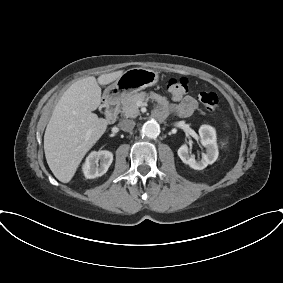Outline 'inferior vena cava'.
Here are the masks:
<instances>
[{
	"label": "inferior vena cava",
	"instance_id": "1",
	"mask_svg": "<svg viewBox=\"0 0 283 283\" xmlns=\"http://www.w3.org/2000/svg\"><path fill=\"white\" fill-rule=\"evenodd\" d=\"M121 130L130 132L135 127V122L133 120L124 119L119 123Z\"/></svg>",
	"mask_w": 283,
	"mask_h": 283
}]
</instances>
